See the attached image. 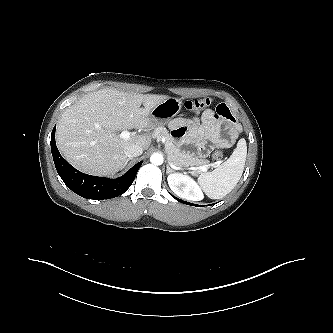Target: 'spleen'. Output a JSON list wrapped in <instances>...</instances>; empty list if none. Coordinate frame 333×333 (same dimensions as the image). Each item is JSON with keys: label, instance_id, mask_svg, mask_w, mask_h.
<instances>
[{"label": "spleen", "instance_id": "spleen-1", "mask_svg": "<svg viewBox=\"0 0 333 333\" xmlns=\"http://www.w3.org/2000/svg\"><path fill=\"white\" fill-rule=\"evenodd\" d=\"M246 155L247 144L242 138L223 164L212 172L203 173L198 177V183L209 198H223L234 189L242 176Z\"/></svg>", "mask_w": 333, "mask_h": 333}]
</instances>
